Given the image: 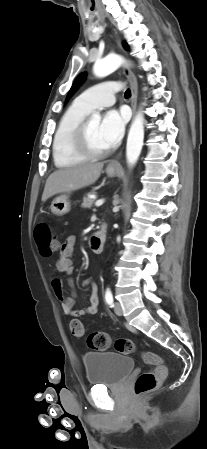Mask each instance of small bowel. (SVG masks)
<instances>
[{
    "label": "small bowel",
    "instance_id": "small-bowel-1",
    "mask_svg": "<svg viewBox=\"0 0 207 449\" xmlns=\"http://www.w3.org/2000/svg\"><path fill=\"white\" fill-rule=\"evenodd\" d=\"M76 244V238L74 236H69L64 243L61 245L59 250V256L55 261V270L57 272H63L67 275H71L74 270L73 266V252ZM69 284L72 287L69 296H64L63 284L59 278H54L52 281V287L55 295L62 302V310L68 316L81 317L84 315H94L97 313L98 307V297L95 292H93L89 299V304L83 309H73L75 303L76 293L74 290L73 280L69 279ZM83 286L94 285L93 278L89 277L83 281Z\"/></svg>",
    "mask_w": 207,
    "mask_h": 449
}]
</instances>
